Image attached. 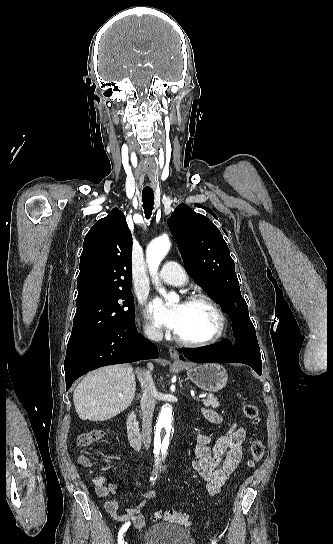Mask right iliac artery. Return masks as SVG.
Segmentation results:
<instances>
[{"instance_id":"right-iliac-artery-1","label":"right iliac artery","mask_w":333,"mask_h":544,"mask_svg":"<svg viewBox=\"0 0 333 544\" xmlns=\"http://www.w3.org/2000/svg\"><path fill=\"white\" fill-rule=\"evenodd\" d=\"M129 526H130V524L127 523V524H124L121 527V529H120V531L118 533V544H124L123 535H124V533L126 532V530L128 529Z\"/></svg>"}]
</instances>
